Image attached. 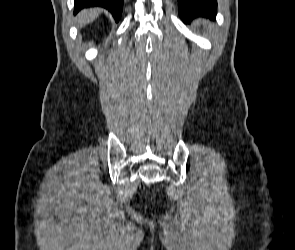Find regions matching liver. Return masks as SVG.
I'll return each instance as SVG.
<instances>
[{
  "mask_svg": "<svg viewBox=\"0 0 295 250\" xmlns=\"http://www.w3.org/2000/svg\"><path fill=\"white\" fill-rule=\"evenodd\" d=\"M99 15V10L96 8L84 9L77 15L79 27H83L95 20Z\"/></svg>",
  "mask_w": 295,
  "mask_h": 250,
  "instance_id": "obj_1",
  "label": "liver"
}]
</instances>
